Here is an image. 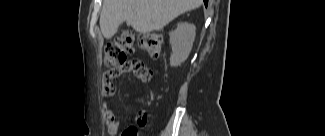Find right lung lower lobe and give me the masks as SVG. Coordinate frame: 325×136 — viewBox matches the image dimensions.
Listing matches in <instances>:
<instances>
[{
    "label": "right lung lower lobe",
    "instance_id": "obj_1",
    "mask_svg": "<svg viewBox=\"0 0 325 136\" xmlns=\"http://www.w3.org/2000/svg\"><path fill=\"white\" fill-rule=\"evenodd\" d=\"M205 6H207L208 0H204Z\"/></svg>",
    "mask_w": 325,
    "mask_h": 136
}]
</instances>
